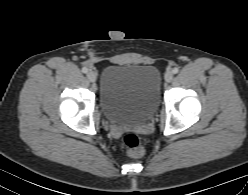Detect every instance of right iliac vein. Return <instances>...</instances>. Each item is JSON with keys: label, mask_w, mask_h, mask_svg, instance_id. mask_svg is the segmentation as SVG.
Returning <instances> with one entry per match:
<instances>
[{"label": "right iliac vein", "mask_w": 248, "mask_h": 195, "mask_svg": "<svg viewBox=\"0 0 248 195\" xmlns=\"http://www.w3.org/2000/svg\"><path fill=\"white\" fill-rule=\"evenodd\" d=\"M87 78L89 79L90 82H95L97 79V73L95 71L90 70L87 73Z\"/></svg>", "instance_id": "1"}]
</instances>
